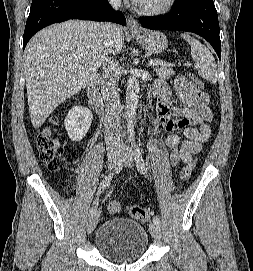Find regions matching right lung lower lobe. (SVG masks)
<instances>
[{"label":"right lung lower lobe","instance_id":"98d812e1","mask_svg":"<svg viewBox=\"0 0 253 271\" xmlns=\"http://www.w3.org/2000/svg\"><path fill=\"white\" fill-rule=\"evenodd\" d=\"M69 19L112 21L126 25L124 15L114 12L107 0H33L25 26L23 48L40 29Z\"/></svg>","mask_w":253,"mask_h":271}]
</instances>
